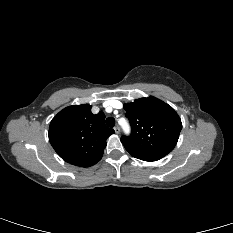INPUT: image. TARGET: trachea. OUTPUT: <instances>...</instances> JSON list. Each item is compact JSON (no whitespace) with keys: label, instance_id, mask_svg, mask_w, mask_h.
Instances as JSON below:
<instances>
[{"label":"trachea","instance_id":"trachea-1","mask_svg":"<svg viewBox=\"0 0 233 233\" xmlns=\"http://www.w3.org/2000/svg\"><path fill=\"white\" fill-rule=\"evenodd\" d=\"M106 124L109 127H114L115 125V119L113 117H109L106 119Z\"/></svg>","mask_w":233,"mask_h":233}]
</instances>
